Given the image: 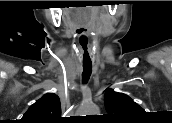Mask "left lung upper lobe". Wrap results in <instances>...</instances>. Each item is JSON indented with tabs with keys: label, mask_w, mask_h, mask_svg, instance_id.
<instances>
[{
	"label": "left lung upper lobe",
	"mask_w": 172,
	"mask_h": 123,
	"mask_svg": "<svg viewBox=\"0 0 172 123\" xmlns=\"http://www.w3.org/2000/svg\"><path fill=\"white\" fill-rule=\"evenodd\" d=\"M107 117L113 120H131L145 112L129 96L107 89L104 97Z\"/></svg>",
	"instance_id": "5c2ea615"
}]
</instances>
